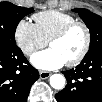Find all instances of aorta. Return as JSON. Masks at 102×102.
Returning a JSON list of instances; mask_svg holds the SVG:
<instances>
[{
	"label": "aorta",
	"mask_w": 102,
	"mask_h": 102,
	"mask_svg": "<svg viewBox=\"0 0 102 102\" xmlns=\"http://www.w3.org/2000/svg\"><path fill=\"white\" fill-rule=\"evenodd\" d=\"M49 82L52 88L60 90L64 88L66 80L62 74H53Z\"/></svg>",
	"instance_id": "762f6f07"
}]
</instances>
